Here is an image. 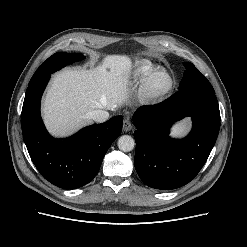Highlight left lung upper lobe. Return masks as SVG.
Masks as SVG:
<instances>
[{
    "mask_svg": "<svg viewBox=\"0 0 247 247\" xmlns=\"http://www.w3.org/2000/svg\"><path fill=\"white\" fill-rule=\"evenodd\" d=\"M186 68L183 78L180 82V88L187 86H202L213 88L207 78L190 62L183 64Z\"/></svg>",
    "mask_w": 247,
    "mask_h": 247,
    "instance_id": "obj_1",
    "label": "left lung upper lobe"
}]
</instances>
